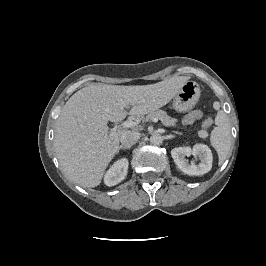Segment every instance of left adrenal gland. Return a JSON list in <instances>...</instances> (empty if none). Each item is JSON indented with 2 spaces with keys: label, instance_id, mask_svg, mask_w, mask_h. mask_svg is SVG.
Here are the masks:
<instances>
[{
  "label": "left adrenal gland",
  "instance_id": "left-adrenal-gland-1",
  "mask_svg": "<svg viewBox=\"0 0 266 266\" xmlns=\"http://www.w3.org/2000/svg\"><path fill=\"white\" fill-rule=\"evenodd\" d=\"M174 133H176V134H179V135H181L182 133H179V132H177V131H173Z\"/></svg>",
  "mask_w": 266,
  "mask_h": 266
}]
</instances>
